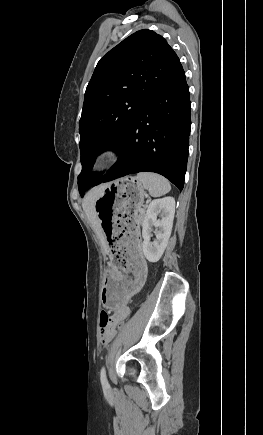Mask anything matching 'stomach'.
I'll return each mask as SVG.
<instances>
[{
  "instance_id": "1",
  "label": "stomach",
  "mask_w": 263,
  "mask_h": 435,
  "mask_svg": "<svg viewBox=\"0 0 263 435\" xmlns=\"http://www.w3.org/2000/svg\"><path fill=\"white\" fill-rule=\"evenodd\" d=\"M144 200V188L137 177L126 176L106 184L95 200L100 221L99 233H105L110 260H105L102 304L105 310H120L137 299L147 280L146 260H140L142 246L138 209Z\"/></svg>"
}]
</instances>
